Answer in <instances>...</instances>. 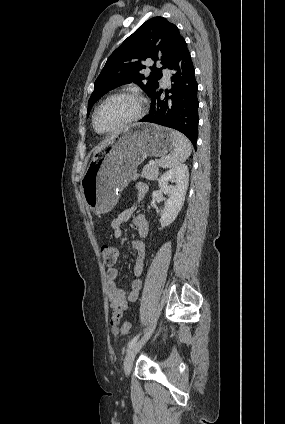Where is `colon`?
Masks as SVG:
<instances>
[{
	"label": "colon",
	"mask_w": 285,
	"mask_h": 424,
	"mask_svg": "<svg viewBox=\"0 0 285 424\" xmlns=\"http://www.w3.org/2000/svg\"><path fill=\"white\" fill-rule=\"evenodd\" d=\"M100 253L106 265L115 264L119 257L118 249L116 247L109 246V245H102L100 247ZM120 329L123 332L128 333L131 331V325L128 322H123L120 325Z\"/></svg>",
	"instance_id": "1"
}]
</instances>
